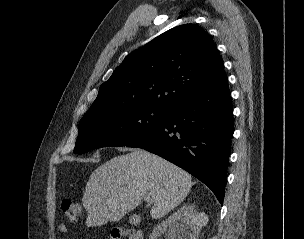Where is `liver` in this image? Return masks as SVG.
Masks as SVG:
<instances>
[{
	"instance_id": "1",
	"label": "liver",
	"mask_w": 304,
	"mask_h": 239,
	"mask_svg": "<svg viewBox=\"0 0 304 239\" xmlns=\"http://www.w3.org/2000/svg\"><path fill=\"white\" fill-rule=\"evenodd\" d=\"M193 185L189 173L145 150L105 162L91 174L82 203L89 227L118 221L148 197L150 215L161 218L178 206Z\"/></svg>"
}]
</instances>
